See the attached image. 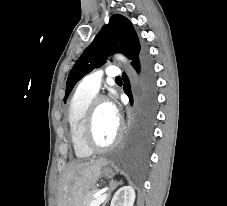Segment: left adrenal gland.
<instances>
[{
	"label": "left adrenal gland",
	"instance_id": "a2214340",
	"mask_svg": "<svg viewBox=\"0 0 227 206\" xmlns=\"http://www.w3.org/2000/svg\"><path fill=\"white\" fill-rule=\"evenodd\" d=\"M121 184H122V181H119V182L114 181V180L110 181V183H109L110 188H109V190H108V197L106 198V200L104 201V203L102 204V206H105V205L108 203V201L110 200L112 191H113L118 185H121Z\"/></svg>",
	"mask_w": 227,
	"mask_h": 206
}]
</instances>
